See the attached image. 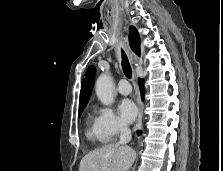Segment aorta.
Instances as JSON below:
<instances>
[{
    "label": "aorta",
    "instance_id": "aorta-1",
    "mask_svg": "<svg viewBox=\"0 0 223 171\" xmlns=\"http://www.w3.org/2000/svg\"><path fill=\"white\" fill-rule=\"evenodd\" d=\"M95 91L98 99L103 105H111L114 101L113 83L106 74H101L95 84Z\"/></svg>",
    "mask_w": 223,
    "mask_h": 171
}]
</instances>
